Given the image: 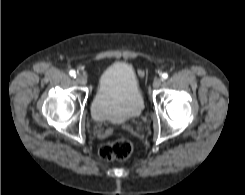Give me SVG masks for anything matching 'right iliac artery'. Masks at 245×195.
I'll return each instance as SVG.
<instances>
[{"label":"right iliac artery","instance_id":"82829eb1","mask_svg":"<svg viewBox=\"0 0 245 195\" xmlns=\"http://www.w3.org/2000/svg\"><path fill=\"white\" fill-rule=\"evenodd\" d=\"M69 74L72 77H76V72L74 70H70Z\"/></svg>","mask_w":245,"mask_h":195}]
</instances>
